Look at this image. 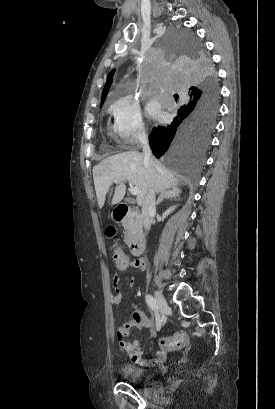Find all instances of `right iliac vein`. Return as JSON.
<instances>
[{
	"label": "right iliac vein",
	"mask_w": 275,
	"mask_h": 409,
	"mask_svg": "<svg viewBox=\"0 0 275 409\" xmlns=\"http://www.w3.org/2000/svg\"><path fill=\"white\" fill-rule=\"evenodd\" d=\"M155 298H156V303H157L159 311L161 313H164L165 311H167L168 310V304H167V301H166L164 295L161 292L156 291L155 292Z\"/></svg>",
	"instance_id": "obj_1"
}]
</instances>
